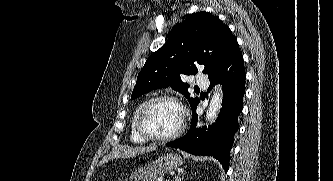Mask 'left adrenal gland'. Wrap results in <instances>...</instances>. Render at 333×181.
<instances>
[{
  "instance_id": "1",
  "label": "left adrenal gland",
  "mask_w": 333,
  "mask_h": 181,
  "mask_svg": "<svg viewBox=\"0 0 333 181\" xmlns=\"http://www.w3.org/2000/svg\"><path fill=\"white\" fill-rule=\"evenodd\" d=\"M183 173H184V171H182L181 173H179V174L174 178L173 181H181V179L184 178V177H182V174H183Z\"/></svg>"
}]
</instances>
